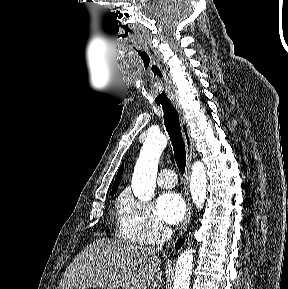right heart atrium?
<instances>
[{
  "mask_svg": "<svg viewBox=\"0 0 288 289\" xmlns=\"http://www.w3.org/2000/svg\"><path fill=\"white\" fill-rule=\"evenodd\" d=\"M121 236L139 244H155L165 240L169 228L159 219L151 203L125 193L119 203Z\"/></svg>",
  "mask_w": 288,
  "mask_h": 289,
  "instance_id": "obj_1",
  "label": "right heart atrium"
}]
</instances>
